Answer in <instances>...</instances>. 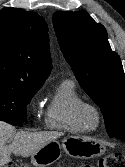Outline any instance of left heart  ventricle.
I'll use <instances>...</instances> for the list:
<instances>
[{"instance_id": "left-heart-ventricle-1", "label": "left heart ventricle", "mask_w": 125, "mask_h": 167, "mask_svg": "<svg viewBox=\"0 0 125 167\" xmlns=\"http://www.w3.org/2000/svg\"><path fill=\"white\" fill-rule=\"evenodd\" d=\"M87 122L90 124V125H94L95 124V116L93 113L89 112L87 114Z\"/></svg>"}]
</instances>
